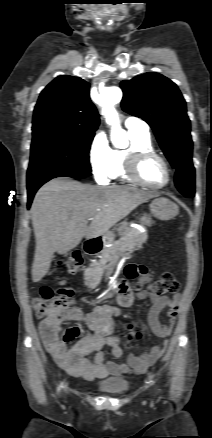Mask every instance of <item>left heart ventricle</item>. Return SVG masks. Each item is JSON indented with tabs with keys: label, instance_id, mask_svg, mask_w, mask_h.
Segmentation results:
<instances>
[{
	"label": "left heart ventricle",
	"instance_id": "obj_1",
	"mask_svg": "<svg viewBox=\"0 0 212 438\" xmlns=\"http://www.w3.org/2000/svg\"><path fill=\"white\" fill-rule=\"evenodd\" d=\"M140 174L145 181L153 185H161L167 178L163 164L156 158L145 160L141 166Z\"/></svg>",
	"mask_w": 212,
	"mask_h": 438
}]
</instances>
